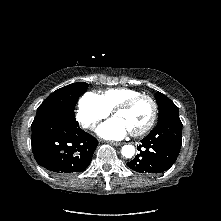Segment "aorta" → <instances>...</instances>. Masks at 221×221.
<instances>
[{"label": "aorta", "instance_id": "obj_1", "mask_svg": "<svg viewBox=\"0 0 221 221\" xmlns=\"http://www.w3.org/2000/svg\"><path fill=\"white\" fill-rule=\"evenodd\" d=\"M121 154L125 158H132L135 154V147L133 145H124L121 149Z\"/></svg>", "mask_w": 221, "mask_h": 221}]
</instances>
